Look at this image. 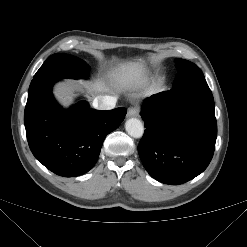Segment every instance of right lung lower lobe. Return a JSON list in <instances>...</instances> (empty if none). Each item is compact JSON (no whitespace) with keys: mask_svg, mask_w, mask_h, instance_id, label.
<instances>
[{"mask_svg":"<svg viewBox=\"0 0 247 247\" xmlns=\"http://www.w3.org/2000/svg\"><path fill=\"white\" fill-rule=\"evenodd\" d=\"M58 80L52 75L32 80L24 123L36 159L59 176L74 177L95 165L105 137L120 126L127 110L98 111L85 101L63 110L51 91Z\"/></svg>","mask_w":247,"mask_h":247,"instance_id":"98d812e1","label":"right lung lower lobe"}]
</instances>
